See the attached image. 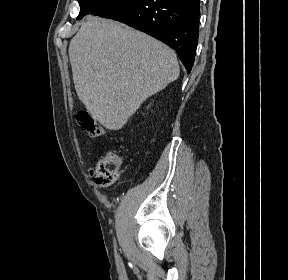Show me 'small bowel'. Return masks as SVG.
Segmentation results:
<instances>
[{"label":"small bowel","mask_w":288,"mask_h":280,"mask_svg":"<svg viewBox=\"0 0 288 280\" xmlns=\"http://www.w3.org/2000/svg\"><path fill=\"white\" fill-rule=\"evenodd\" d=\"M93 173H94L93 170H90V171H89V174H90V175H93Z\"/></svg>","instance_id":"obj_1"}]
</instances>
